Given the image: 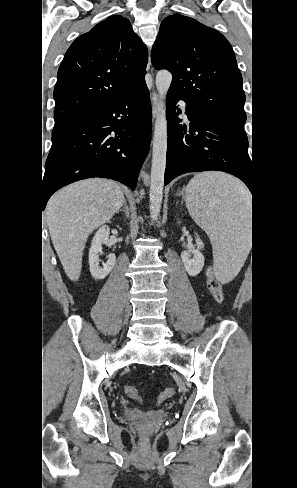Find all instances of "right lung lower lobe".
Instances as JSON below:
<instances>
[{
    "instance_id": "right-lung-lower-lobe-1",
    "label": "right lung lower lobe",
    "mask_w": 297,
    "mask_h": 488,
    "mask_svg": "<svg viewBox=\"0 0 297 488\" xmlns=\"http://www.w3.org/2000/svg\"><path fill=\"white\" fill-rule=\"evenodd\" d=\"M150 137L151 103L145 80L108 105L53 130L41 180V208L58 189L86 178H109L134 190Z\"/></svg>"
}]
</instances>
